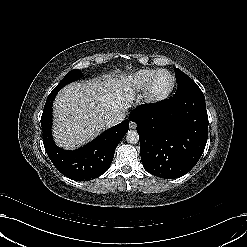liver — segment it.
<instances>
[{
	"instance_id": "liver-1",
	"label": "liver",
	"mask_w": 247,
	"mask_h": 247,
	"mask_svg": "<svg viewBox=\"0 0 247 247\" xmlns=\"http://www.w3.org/2000/svg\"><path fill=\"white\" fill-rule=\"evenodd\" d=\"M135 92L126 75H106L65 86L53 105V136L56 144L72 150L96 137L106 119L128 110Z\"/></svg>"
}]
</instances>
